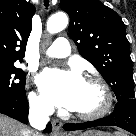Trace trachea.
Returning <instances> with one entry per match:
<instances>
[{"instance_id": "trachea-1", "label": "trachea", "mask_w": 136, "mask_h": 136, "mask_svg": "<svg viewBox=\"0 0 136 136\" xmlns=\"http://www.w3.org/2000/svg\"><path fill=\"white\" fill-rule=\"evenodd\" d=\"M45 6L48 7L49 6V0H44Z\"/></svg>"}]
</instances>
